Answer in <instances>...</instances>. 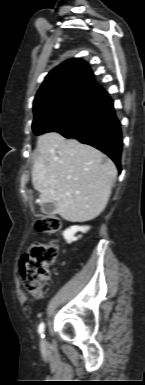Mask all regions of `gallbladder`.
<instances>
[{
	"label": "gallbladder",
	"mask_w": 145,
	"mask_h": 385,
	"mask_svg": "<svg viewBox=\"0 0 145 385\" xmlns=\"http://www.w3.org/2000/svg\"><path fill=\"white\" fill-rule=\"evenodd\" d=\"M41 211L44 214L52 215L55 213V205L53 203H44L41 207Z\"/></svg>",
	"instance_id": "gallbladder-1"
}]
</instances>
